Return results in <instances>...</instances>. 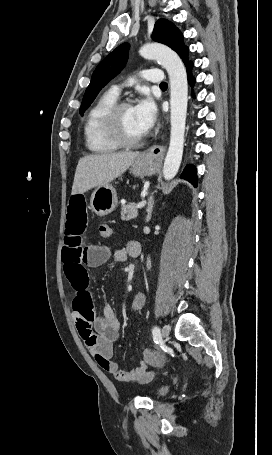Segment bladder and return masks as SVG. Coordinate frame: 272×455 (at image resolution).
I'll use <instances>...</instances> for the list:
<instances>
[{
    "label": "bladder",
    "mask_w": 272,
    "mask_h": 455,
    "mask_svg": "<svg viewBox=\"0 0 272 455\" xmlns=\"http://www.w3.org/2000/svg\"><path fill=\"white\" fill-rule=\"evenodd\" d=\"M168 391H169V386L168 385H166V384L160 385L155 390V396L162 397V396L166 395L168 393Z\"/></svg>",
    "instance_id": "31cf9c89"
}]
</instances>
